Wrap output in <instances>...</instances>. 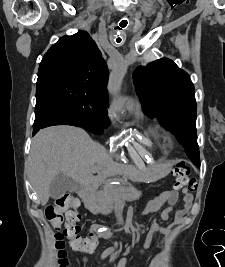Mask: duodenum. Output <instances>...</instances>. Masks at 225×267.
<instances>
[{
  "mask_svg": "<svg viewBox=\"0 0 225 267\" xmlns=\"http://www.w3.org/2000/svg\"><path fill=\"white\" fill-rule=\"evenodd\" d=\"M85 204H86L87 209L93 208L94 203L92 202V196L91 195L87 194Z\"/></svg>",
  "mask_w": 225,
  "mask_h": 267,
  "instance_id": "obj_1",
  "label": "duodenum"
}]
</instances>
